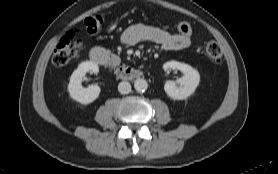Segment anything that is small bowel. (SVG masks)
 <instances>
[{
	"label": "small bowel",
	"instance_id": "1",
	"mask_svg": "<svg viewBox=\"0 0 278 174\" xmlns=\"http://www.w3.org/2000/svg\"><path fill=\"white\" fill-rule=\"evenodd\" d=\"M121 41L125 45H135L141 42H150L160 46L164 50H183L191 45L190 36L171 33L164 29L134 24L129 26L121 35Z\"/></svg>",
	"mask_w": 278,
	"mask_h": 174
}]
</instances>
